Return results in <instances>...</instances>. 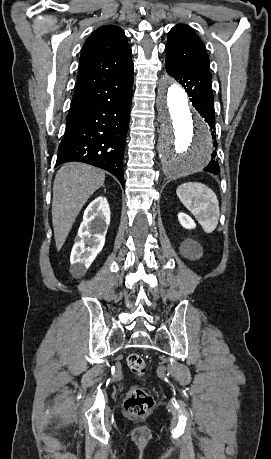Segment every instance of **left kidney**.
<instances>
[{"mask_svg": "<svg viewBox=\"0 0 271 459\" xmlns=\"http://www.w3.org/2000/svg\"><path fill=\"white\" fill-rule=\"evenodd\" d=\"M178 220H179L181 226H183V228H186V229L195 228L194 220H192V218H190V216H187V214H183V212H180V214H178ZM191 243H192V241H191ZM190 249H191V251H193V249H194L193 245H191Z\"/></svg>", "mask_w": 271, "mask_h": 459, "instance_id": "left-kidney-1", "label": "left kidney"}]
</instances>
